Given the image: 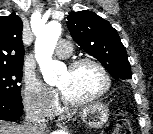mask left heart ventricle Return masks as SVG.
<instances>
[{
  "label": "left heart ventricle",
  "instance_id": "1",
  "mask_svg": "<svg viewBox=\"0 0 153 134\" xmlns=\"http://www.w3.org/2000/svg\"><path fill=\"white\" fill-rule=\"evenodd\" d=\"M56 85L69 98L82 99L99 92L104 85V79L95 66L83 64L74 70L67 68Z\"/></svg>",
  "mask_w": 153,
  "mask_h": 134
}]
</instances>
